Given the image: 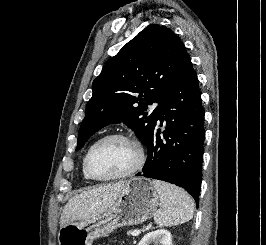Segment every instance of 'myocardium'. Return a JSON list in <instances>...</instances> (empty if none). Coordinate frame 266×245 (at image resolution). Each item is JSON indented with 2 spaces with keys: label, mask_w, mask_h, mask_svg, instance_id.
I'll use <instances>...</instances> for the list:
<instances>
[{
  "label": "myocardium",
  "mask_w": 266,
  "mask_h": 245,
  "mask_svg": "<svg viewBox=\"0 0 266 245\" xmlns=\"http://www.w3.org/2000/svg\"><path fill=\"white\" fill-rule=\"evenodd\" d=\"M113 138L121 139V140L128 141V142L132 143L137 148L138 156H137V159H136L134 166L128 172L121 174V175H118V176L102 178V177H99L96 174H94L91 167H90L91 155L99 144H101L102 142H104L106 140L113 139ZM144 160H145L144 147L136 138L131 137V136L124 134V133H109V134H106V135L98 138L95 142L92 143V145L88 148V150L85 154L84 163H85V170H86L88 176L92 180L100 181V182H110V181L121 180V179H125V178L133 176L134 174H136L141 169V167L144 164Z\"/></svg>",
  "instance_id": "1"
}]
</instances>
